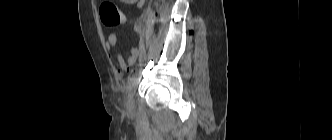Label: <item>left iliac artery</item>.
<instances>
[{
    "label": "left iliac artery",
    "instance_id": "obj_1",
    "mask_svg": "<svg viewBox=\"0 0 332 140\" xmlns=\"http://www.w3.org/2000/svg\"><path fill=\"white\" fill-rule=\"evenodd\" d=\"M134 80H135V73L131 74L128 77V83H127V89H128V91H130L132 89L133 84H134Z\"/></svg>",
    "mask_w": 332,
    "mask_h": 140
}]
</instances>
